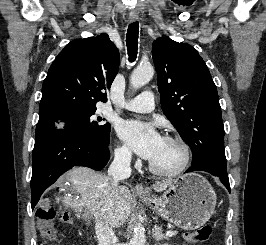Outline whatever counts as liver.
<instances>
[{"mask_svg":"<svg viewBox=\"0 0 266 245\" xmlns=\"http://www.w3.org/2000/svg\"><path fill=\"white\" fill-rule=\"evenodd\" d=\"M74 191V197L65 199L64 205L71 207L75 213L84 207L89 209L91 215L98 219H106L109 227L118 229L126 223L131 215L132 197L127 187H116L115 195H107L103 187H110V177L96 173L87 167H74L65 175ZM173 181H162L152 185L156 193L166 191ZM57 199L56 203H59Z\"/></svg>","mask_w":266,"mask_h":245,"instance_id":"obj_1","label":"liver"}]
</instances>
